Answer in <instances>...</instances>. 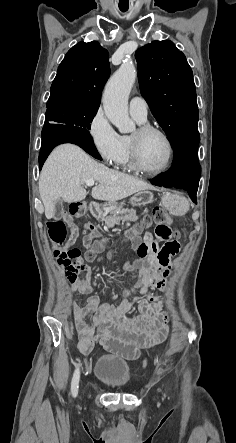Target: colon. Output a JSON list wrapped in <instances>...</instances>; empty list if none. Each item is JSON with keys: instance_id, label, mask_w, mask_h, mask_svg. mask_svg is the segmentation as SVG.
Listing matches in <instances>:
<instances>
[{"instance_id": "obj_1", "label": "colon", "mask_w": 236, "mask_h": 443, "mask_svg": "<svg viewBox=\"0 0 236 443\" xmlns=\"http://www.w3.org/2000/svg\"><path fill=\"white\" fill-rule=\"evenodd\" d=\"M85 213L86 208L83 203L73 202L67 208L64 219H55L47 222L49 239L56 247V258L58 261L64 262L72 267H80L84 260L93 261L96 257V253L91 248L90 241L87 238L84 240V245L86 246L84 253L79 247L73 246V243L78 237V231L76 229L68 230L66 224V220L83 217ZM171 224V216L164 209L156 208L151 214L145 217L142 224L134 228L133 235H139L144 227L155 225V234L158 238L168 242L165 248L170 253H173L178 249V246L176 243H169L172 241L171 237L173 235ZM88 229L92 230L93 225H89ZM175 235L177 236V234ZM138 255L141 258L146 257L148 255L147 247L141 246Z\"/></svg>"}]
</instances>
